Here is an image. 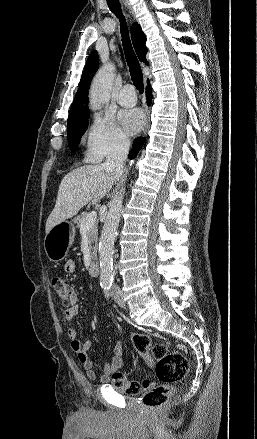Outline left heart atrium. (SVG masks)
<instances>
[{"mask_svg": "<svg viewBox=\"0 0 257 439\" xmlns=\"http://www.w3.org/2000/svg\"><path fill=\"white\" fill-rule=\"evenodd\" d=\"M119 119L129 133L137 132L144 124V115L138 109L121 112Z\"/></svg>", "mask_w": 257, "mask_h": 439, "instance_id": "obj_1", "label": "left heart atrium"}]
</instances>
